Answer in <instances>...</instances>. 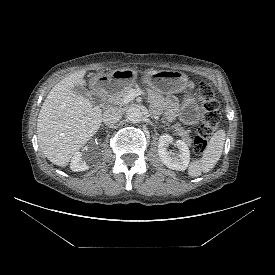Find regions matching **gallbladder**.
<instances>
[{"instance_id": "bac80fb5", "label": "gallbladder", "mask_w": 275, "mask_h": 275, "mask_svg": "<svg viewBox=\"0 0 275 275\" xmlns=\"http://www.w3.org/2000/svg\"><path fill=\"white\" fill-rule=\"evenodd\" d=\"M72 90L76 93V94H79V95H82L84 97H89L90 94H89V91L81 86V85H74Z\"/></svg>"}]
</instances>
